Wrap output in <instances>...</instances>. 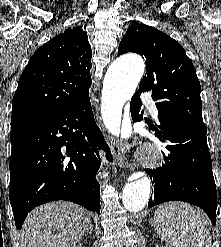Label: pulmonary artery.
<instances>
[{"instance_id":"pulmonary-artery-1","label":"pulmonary artery","mask_w":221,"mask_h":247,"mask_svg":"<svg viewBox=\"0 0 221 247\" xmlns=\"http://www.w3.org/2000/svg\"><path fill=\"white\" fill-rule=\"evenodd\" d=\"M141 98H142V100H143L149 107H151V113H152V115L155 116V117H157V115H158V110L156 109V106H155L154 102L152 101L150 94L143 93V94L141 95Z\"/></svg>"}]
</instances>
